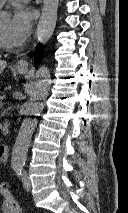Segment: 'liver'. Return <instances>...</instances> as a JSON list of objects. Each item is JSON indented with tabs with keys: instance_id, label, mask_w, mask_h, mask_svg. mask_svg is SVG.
Returning a JSON list of instances; mask_svg holds the SVG:
<instances>
[{
	"instance_id": "obj_1",
	"label": "liver",
	"mask_w": 128,
	"mask_h": 213,
	"mask_svg": "<svg viewBox=\"0 0 128 213\" xmlns=\"http://www.w3.org/2000/svg\"><path fill=\"white\" fill-rule=\"evenodd\" d=\"M6 66H7L6 61L0 60V74L3 72Z\"/></svg>"
}]
</instances>
